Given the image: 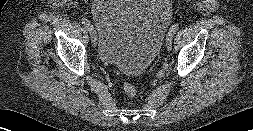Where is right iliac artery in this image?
Returning a JSON list of instances; mask_svg holds the SVG:
<instances>
[{"label": "right iliac artery", "mask_w": 253, "mask_h": 131, "mask_svg": "<svg viewBox=\"0 0 253 131\" xmlns=\"http://www.w3.org/2000/svg\"><path fill=\"white\" fill-rule=\"evenodd\" d=\"M81 22L87 29L91 27V23L87 18H82Z\"/></svg>", "instance_id": "1"}]
</instances>
